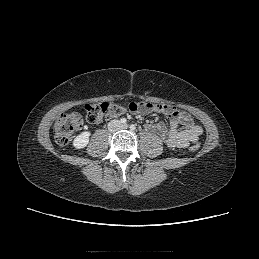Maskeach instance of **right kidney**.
Returning <instances> with one entry per match:
<instances>
[{
	"mask_svg": "<svg viewBox=\"0 0 259 259\" xmlns=\"http://www.w3.org/2000/svg\"><path fill=\"white\" fill-rule=\"evenodd\" d=\"M91 135V133L89 131H85L82 132L80 135H78L74 141H73V145L75 148L77 149H81L87 146V144L89 143V136Z\"/></svg>",
	"mask_w": 259,
	"mask_h": 259,
	"instance_id": "obj_1",
	"label": "right kidney"
}]
</instances>
